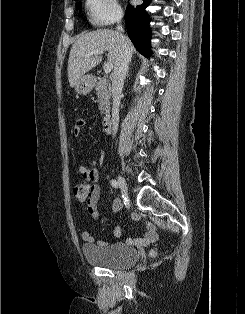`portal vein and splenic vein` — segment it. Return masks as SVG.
<instances>
[{
  "label": "portal vein and splenic vein",
  "mask_w": 245,
  "mask_h": 314,
  "mask_svg": "<svg viewBox=\"0 0 245 314\" xmlns=\"http://www.w3.org/2000/svg\"><path fill=\"white\" fill-rule=\"evenodd\" d=\"M103 50H94L89 53V55H100L103 54ZM113 69V63L112 62H107L104 64V72L105 73H110L111 70Z\"/></svg>",
  "instance_id": "portal-vein-and-splenic-vein-1"
}]
</instances>
